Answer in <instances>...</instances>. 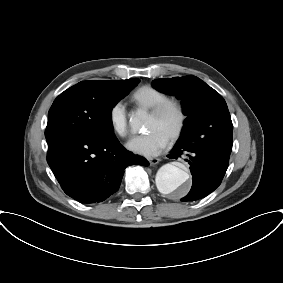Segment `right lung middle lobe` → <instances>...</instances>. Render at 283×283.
<instances>
[{"instance_id":"dd1d6c3e","label":"right lung middle lobe","mask_w":283,"mask_h":283,"mask_svg":"<svg viewBox=\"0 0 283 283\" xmlns=\"http://www.w3.org/2000/svg\"><path fill=\"white\" fill-rule=\"evenodd\" d=\"M138 83L136 78L113 83L82 81L68 88L49 110L47 143L73 136L98 139L114 135L112 108Z\"/></svg>"}]
</instances>
